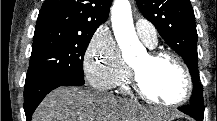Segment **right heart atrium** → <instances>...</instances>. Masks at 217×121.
<instances>
[{
  "instance_id": "1",
  "label": "right heart atrium",
  "mask_w": 217,
  "mask_h": 121,
  "mask_svg": "<svg viewBox=\"0 0 217 121\" xmlns=\"http://www.w3.org/2000/svg\"><path fill=\"white\" fill-rule=\"evenodd\" d=\"M88 82L99 90H110L128 72L118 46L110 35L99 32L90 41L83 59Z\"/></svg>"
}]
</instances>
